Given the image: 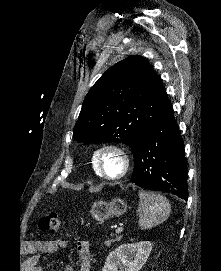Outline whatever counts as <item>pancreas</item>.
I'll return each mask as SVG.
<instances>
[{"label":"pancreas","instance_id":"obj_1","mask_svg":"<svg viewBox=\"0 0 221 271\" xmlns=\"http://www.w3.org/2000/svg\"><path fill=\"white\" fill-rule=\"evenodd\" d=\"M114 244H116V239H105L103 247H113Z\"/></svg>","mask_w":221,"mask_h":271}]
</instances>
